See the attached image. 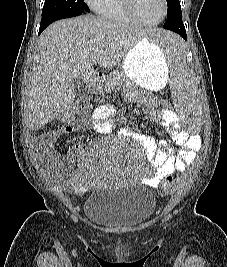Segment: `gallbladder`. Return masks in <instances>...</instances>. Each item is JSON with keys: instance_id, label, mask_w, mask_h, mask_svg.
Returning a JSON list of instances; mask_svg holds the SVG:
<instances>
[{"instance_id": "bac80fb5", "label": "gallbladder", "mask_w": 227, "mask_h": 267, "mask_svg": "<svg viewBox=\"0 0 227 267\" xmlns=\"http://www.w3.org/2000/svg\"><path fill=\"white\" fill-rule=\"evenodd\" d=\"M87 83L81 79L76 80L75 90L77 95H81L87 89Z\"/></svg>"}]
</instances>
